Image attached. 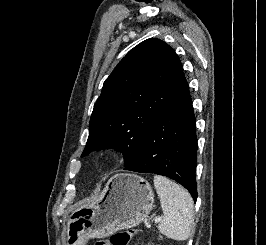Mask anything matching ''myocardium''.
Wrapping results in <instances>:
<instances>
[{
    "mask_svg": "<svg viewBox=\"0 0 266 245\" xmlns=\"http://www.w3.org/2000/svg\"><path fill=\"white\" fill-rule=\"evenodd\" d=\"M118 155L116 152L112 150H104L99 152L95 158H94V163L95 165L102 169V170H107L110 169L115 165L117 162Z\"/></svg>",
    "mask_w": 266,
    "mask_h": 245,
    "instance_id": "obj_1",
    "label": "myocardium"
}]
</instances>
